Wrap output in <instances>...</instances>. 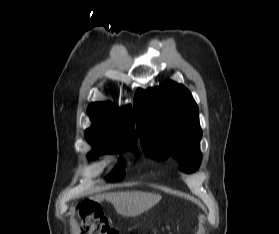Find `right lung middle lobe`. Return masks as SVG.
I'll return each mask as SVG.
<instances>
[{
	"mask_svg": "<svg viewBox=\"0 0 279 234\" xmlns=\"http://www.w3.org/2000/svg\"><path fill=\"white\" fill-rule=\"evenodd\" d=\"M88 140V139H87ZM88 142L93 146V152L89 154L90 157L96 158L100 154L104 153H116L120 152L122 149H131L134 151L136 155H138V150L135 145H130V144H105V143H97L88 140ZM123 163H120L118 168H116L113 173H111L108 177L107 180L109 182H114L117 180H121L123 176L125 175L124 169L122 168Z\"/></svg>",
	"mask_w": 279,
	"mask_h": 234,
	"instance_id": "1",
	"label": "right lung middle lobe"
}]
</instances>
